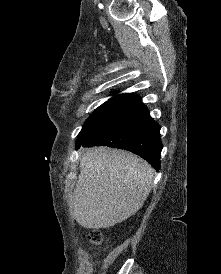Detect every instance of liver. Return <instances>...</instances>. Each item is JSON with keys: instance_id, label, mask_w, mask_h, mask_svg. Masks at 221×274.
I'll use <instances>...</instances> for the list:
<instances>
[{"instance_id": "1", "label": "liver", "mask_w": 221, "mask_h": 274, "mask_svg": "<svg viewBox=\"0 0 221 274\" xmlns=\"http://www.w3.org/2000/svg\"><path fill=\"white\" fill-rule=\"evenodd\" d=\"M154 169L123 150L95 147L80 159L70 210L87 229L109 228L134 215L152 188Z\"/></svg>"}]
</instances>
